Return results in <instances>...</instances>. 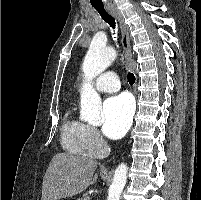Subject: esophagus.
<instances>
[{
    "label": "esophagus",
    "instance_id": "34e87169",
    "mask_svg": "<svg viewBox=\"0 0 201 200\" xmlns=\"http://www.w3.org/2000/svg\"><path fill=\"white\" fill-rule=\"evenodd\" d=\"M109 11L111 12L112 15H114L117 18V20L120 24L121 41H122V46H123L124 53H125L126 62L128 64V66L130 67V69L133 72H135V66L133 63V56H132V49H131V44H130L128 26L124 22L123 15L121 14V12L119 10L111 8V9H109Z\"/></svg>",
    "mask_w": 201,
    "mask_h": 200
}]
</instances>
